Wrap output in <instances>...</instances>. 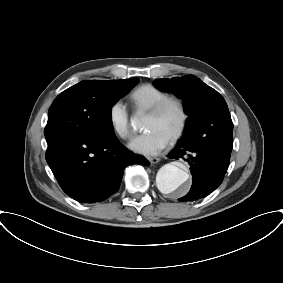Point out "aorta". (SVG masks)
Wrapping results in <instances>:
<instances>
[{"mask_svg":"<svg viewBox=\"0 0 283 283\" xmlns=\"http://www.w3.org/2000/svg\"><path fill=\"white\" fill-rule=\"evenodd\" d=\"M132 123L137 124L132 120ZM189 174L187 168H181L174 164H165L156 175V184L163 194L179 195L186 186Z\"/></svg>","mask_w":283,"mask_h":283,"instance_id":"aorta-1","label":"aorta"}]
</instances>
